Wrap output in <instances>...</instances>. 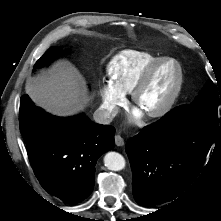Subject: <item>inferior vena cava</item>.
Here are the masks:
<instances>
[{"label": "inferior vena cava", "mask_w": 221, "mask_h": 221, "mask_svg": "<svg viewBox=\"0 0 221 221\" xmlns=\"http://www.w3.org/2000/svg\"><path fill=\"white\" fill-rule=\"evenodd\" d=\"M118 113V107L115 106H101L93 114L96 123L110 124L113 118Z\"/></svg>", "instance_id": "inferior-vena-cava-1"}]
</instances>
